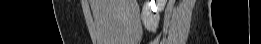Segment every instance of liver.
Masks as SVG:
<instances>
[{"label": "liver", "mask_w": 261, "mask_h": 44, "mask_svg": "<svg viewBox=\"0 0 261 44\" xmlns=\"http://www.w3.org/2000/svg\"><path fill=\"white\" fill-rule=\"evenodd\" d=\"M98 44H134L139 7L136 0H90Z\"/></svg>", "instance_id": "liver-1"}]
</instances>
